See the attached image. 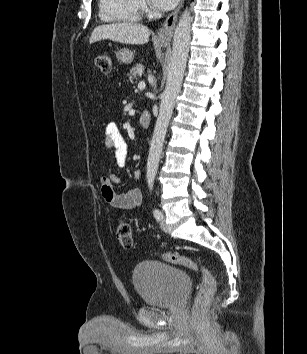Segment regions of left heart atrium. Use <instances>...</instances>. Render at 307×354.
I'll use <instances>...</instances> for the list:
<instances>
[{
  "label": "left heart atrium",
  "instance_id": "39dd6f15",
  "mask_svg": "<svg viewBox=\"0 0 307 354\" xmlns=\"http://www.w3.org/2000/svg\"><path fill=\"white\" fill-rule=\"evenodd\" d=\"M153 6L160 10H169L173 8L178 0H151Z\"/></svg>",
  "mask_w": 307,
  "mask_h": 354
}]
</instances>
